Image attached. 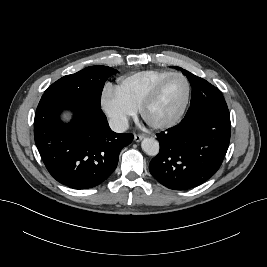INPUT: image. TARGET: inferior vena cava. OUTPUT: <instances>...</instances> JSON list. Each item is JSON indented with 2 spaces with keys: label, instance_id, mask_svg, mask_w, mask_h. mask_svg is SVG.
Masks as SVG:
<instances>
[{
  "label": "inferior vena cava",
  "instance_id": "inferior-vena-cava-1",
  "mask_svg": "<svg viewBox=\"0 0 267 267\" xmlns=\"http://www.w3.org/2000/svg\"><path fill=\"white\" fill-rule=\"evenodd\" d=\"M110 128L116 133L125 132L129 125L128 121L124 117H114L109 120Z\"/></svg>",
  "mask_w": 267,
  "mask_h": 267
}]
</instances>
